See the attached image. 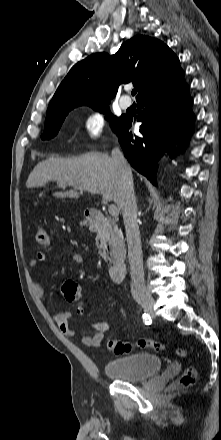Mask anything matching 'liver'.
<instances>
[{
  "mask_svg": "<svg viewBox=\"0 0 221 440\" xmlns=\"http://www.w3.org/2000/svg\"><path fill=\"white\" fill-rule=\"evenodd\" d=\"M50 181L75 189L53 193L56 197L78 198L83 194L82 187H91L102 195L104 202L113 200L122 210L120 176L112 157L106 153L91 152L72 159H46L35 166L26 181V187H45Z\"/></svg>",
  "mask_w": 221,
  "mask_h": 440,
  "instance_id": "liver-1",
  "label": "liver"
}]
</instances>
